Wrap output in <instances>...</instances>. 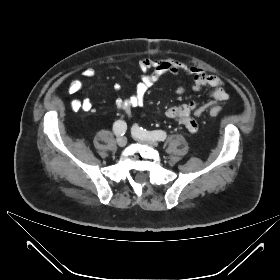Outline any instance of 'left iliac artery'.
<instances>
[{
  "label": "left iliac artery",
  "instance_id": "1",
  "mask_svg": "<svg viewBox=\"0 0 280 280\" xmlns=\"http://www.w3.org/2000/svg\"><path fill=\"white\" fill-rule=\"evenodd\" d=\"M132 132L136 133L139 137H141L143 139H153V140H157V141H164L167 137L166 132H164L162 130L147 131L146 129L139 127L137 124H135L132 127Z\"/></svg>",
  "mask_w": 280,
  "mask_h": 280
}]
</instances>
